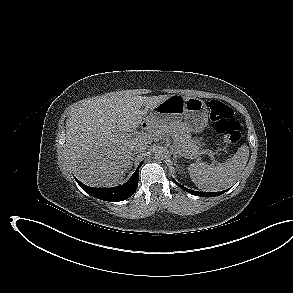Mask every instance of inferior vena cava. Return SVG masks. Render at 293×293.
Segmentation results:
<instances>
[{"mask_svg":"<svg viewBox=\"0 0 293 293\" xmlns=\"http://www.w3.org/2000/svg\"><path fill=\"white\" fill-rule=\"evenodd\" d=\"M146 148H147V145L139 143L134 148V154L144 152Z\"/></svg>","mask_w":293,"mask_h":293,"instance_id":"602c4592","label":"inferior vena cava"}]
</instances>
